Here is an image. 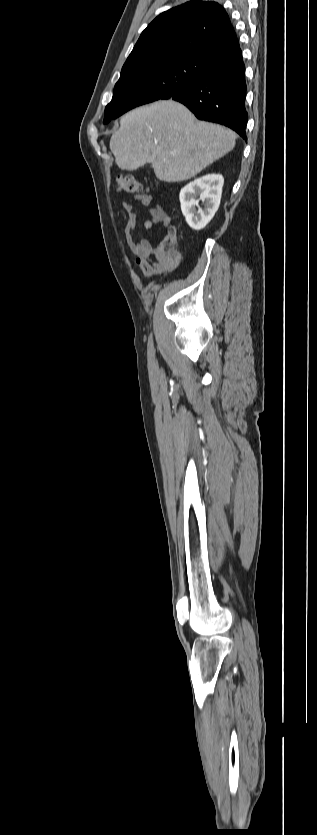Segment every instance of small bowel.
<instances>
[{"label": "small bowel", "mask_w": 317, "mask_h": 835, "mask_svg": "<svg viewBox=\"0 0 317 835\" xmlns=\"http://www.w3.org/2000/svg\"><path fill=\"white\" fill-rule=\"evenodd\" d=\"M133 201L139 202L144 207H150V218L143 221V227L146 230L151 229L155 224L168 226L171 222V217L159 204L155 203L152 196L147 193L139 194L132 200L126 201L123 204L124 210L127 213L126 222L123 228L124 236L129 249L136 258V265L146 276L150 278L164 276L167 273L172 272L177 267L179 259H170L166 257L159 248L153 247L149 239H139L136 237L135 231L138 225V219L133 210Z\"/></svg>", "instance_id": "c3829d8e"}]
</instances>
